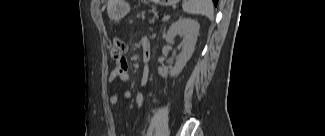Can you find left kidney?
I'll use <instances>...</instances> for the list:
<instances>
[{
  "label": "left kidney",
  "mask_w": 325,
  "mask_h": 136,
  "mask_svg": "<svg viewBox=\"0 0 325 136\" xmlns=\"http://www.w3.org/2000/svg\"><path fill=\"white\" fill-rule=\"evenodd\" d=\"M199 29V23L190 18L181 17L179 20L171 24L166 35V42L173 44L177 35L183 36L185 41L182 43L181 53L178 56L174 67L171 68L170 71L165 67H158V73L160 76L166 78L168 74L170 76H176L182 72L194 52L199 35Z\"/></svg>",
  "instance_id": "obj_1"
}]
</instances>
